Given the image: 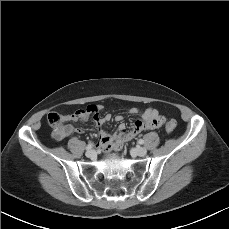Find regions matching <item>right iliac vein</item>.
Segmentation results:
<instances>
[{
    "instance_id": "right-iliac-vein-1",
    "label": "right iliac vein",
    "mask_w": 229,
    "mask_h": 229,
    "mask_svg": "<svg viewBox=\"0 0 229 229\" xmlns=\"http://www.w3.org/2000/svg\"><path fill=\"white\" fill-rule=\"evenodd\" d=\"M96 155V152L94 150H87L86 156L89 158H93Z\"/></svg>"
}]
</instances>
